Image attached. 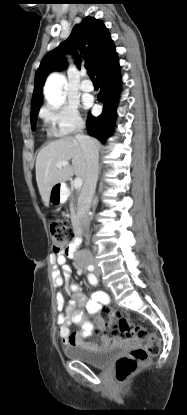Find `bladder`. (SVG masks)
I'll return each instance as SVG.
<instances>
[{
	"label": "bladder",
	"instance_id": "bladder-1",
	"mask_svg": "<svg viewBox=\"0 0 187 415\" xmlns=\"http://www.w3.org/2000/svg\"><path fill=\"white\" fill-rule=\"evenodd\" d=\"M120 350L121 346L105 351H90L83 347L71 346L64 349V354L70 359L79 360L92 367L104 368L120 353Z\"/></svg>",
	"mask_w": 187,
	"mask_h": 415
}]
</instances>
